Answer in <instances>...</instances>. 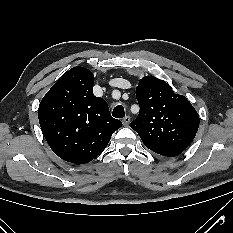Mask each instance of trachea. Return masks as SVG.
Instances as JSON below:
<instances>
[{
  "label": "trachea",
  "instance_id": "obj_1",
  "mask_svg": "<svg viewBox=\"0 0 233 233\" xmlns=\"http://www.w3.org/2000/svg\"><path fill=\"white\" fill-rule=\"evenodd\" d=\"M112 115L115 118H123L125 116L124 108L122 105H118L113 109Z\"/></svg>",
  "mask_w": 233,
  "mask_h": 233
}]
</instances>
